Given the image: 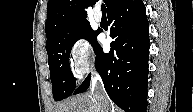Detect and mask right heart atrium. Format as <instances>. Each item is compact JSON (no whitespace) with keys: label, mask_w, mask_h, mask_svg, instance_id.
Wrapping results in <instances>:
<instances>
[{"label":"right heart atrium","mask_w":193,"mask_h":112,"mask_svg":"<svg viewBox=\"0 0 193 112\" xmlns=\"http://www.w3.org/2000/svg\"><path fill=\"white\" fill-rule=\"evenodd\" d=\"M69 63L73 73L85 76L94 66V55L85 35L76 36L69 45Z\"/></svg>","instance_id":"obj_1"}]
</instances>
